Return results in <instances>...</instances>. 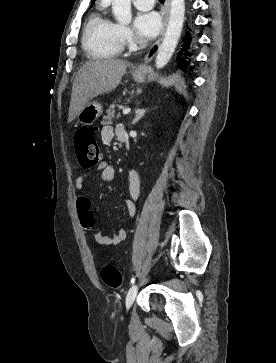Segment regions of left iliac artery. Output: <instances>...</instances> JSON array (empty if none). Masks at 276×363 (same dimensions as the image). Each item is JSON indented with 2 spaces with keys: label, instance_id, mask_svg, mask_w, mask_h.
I'll return each instance as SVG.
<instances>
[{
  "label": "left iliac artery",
  "instance_id": "left-iliac-artery-1",
  "mask_svg": "<svg viewBox=\"0 0 276 363\" xmlns=\"http://www.w3.org/2000/svg\"><path fill=\"white\" fill-rule=\"evenodd\" d=\"M135 282V278H132V281H131V283H134Z\"/></svg>",
  "mask_w": 276,
  "mask_h": 363
}]
</instances>
